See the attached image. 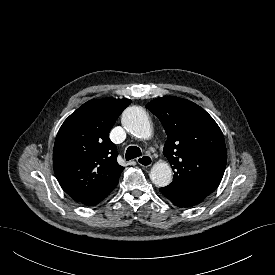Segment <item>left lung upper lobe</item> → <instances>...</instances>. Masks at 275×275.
Instances as JSON below:
<instances>
[{"label":"left lung upper lobe","mask_w":275,"mask_h":275,"mask_svg":"<svg viewBox=\"0 0 275 275\" xmlns=\"http://www.w3.org/2000/svg\"><path fill=\"white\" fill-rule=\"evenodd\" d=\"M146 108L159 118L168 137L163 154L174 177L166 188L211 194L220 184L227 162L217 123L203 108L178 97L156 98Z\"/></svg>","instance_id":"obj_1"}]
</instances>
